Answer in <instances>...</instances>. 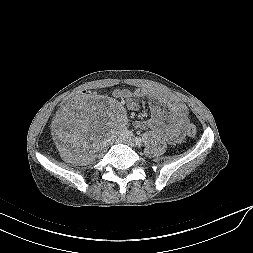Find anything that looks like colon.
Instances as JSON below:
<instances>
[{"label": "colon", "mask_w": 253, "mask_h": 253, "mask_svg": "<svg viewBox=\"0 0 253 253\" xmlns=\"http://www.w3.org/2000/svg\"><path fill=\"white\" fill-rule=\"evenodd\" d=\"M93 96H94V91L90 89H83L80 91H76L69 98H67L66 101H64L61 104L60 109L62 111H67L77 100L83 97H93ZM186 133L188 136H191V137L195 136L197 133V129L195 125L188 124L186 127Z\"/></svg>", "instance_id": "colon-1"}]
</instances>
